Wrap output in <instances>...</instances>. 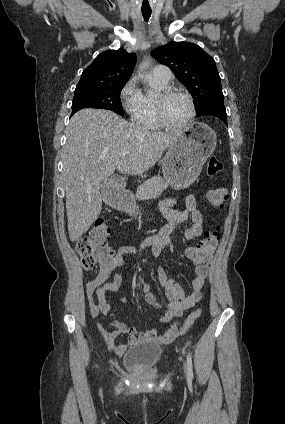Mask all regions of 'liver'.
<instances>
[{
	"label": "liver",
	"instance_id": "1",
	"mask_svg": "<svg viewBox=\"0 0 285 424\" xmlns=\"http://www.w3.org/2000/svg\"><path fill=\"white\" fill-rule=\"evenodd\" d=\"M180 135L150 131L108 110L75 113L66 131L62 173L70 240L79 239L98 218L102 180L116 169L145 176Z\"/></svg>",
	"mask_w": 285,
	"mask_h": 424
}]
</instances>
